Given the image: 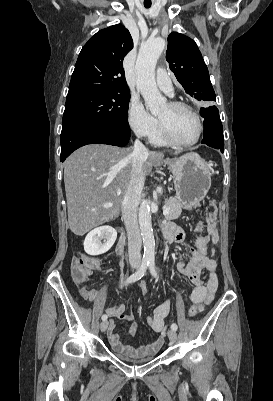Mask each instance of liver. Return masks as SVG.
I'll list each match as a JSON object with an SVG mask.
<instances>
[{
  "label": "liver",
  "mask_w": 273,
  "mask_h": 401,
  "mask_svg": "<svg viewBox=\"0 0 273 401\" xmlns=\"http://www.w3.org/2000/svg\"><path fill=\"white\" fill-rule=\"evenodd\" d=\"M130 152V148L109 144H86L65 160L68 223L74 235H85L119 215L131 180ZM163 156L156 150L148 152L142 164L144 176L152 166L162 164ZM105 203H113V207L104 209Z\"/></svg>",
  "instance_id": "1"
}]
</instances>
